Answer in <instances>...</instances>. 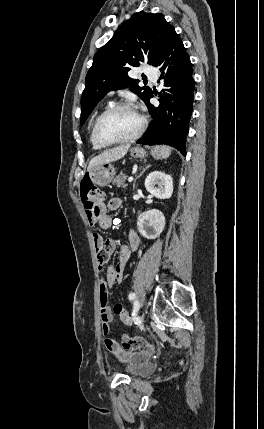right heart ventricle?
I'll use <instances>...</instances> for the list:
<instances>
[{
  "instance_id": "right-heart-ventricle-1",
  "label": "right heart ventricle",
  "mask_w": 264,
  "mask_h": 429,
  "mask_svg": "<svg viewBox=\"0 0 264 429\" xmlns=\"http://www.w3.org/2000/svg\"><path fill=\"white\" fill-rule=\"evenodd\" d=\"M101 113H102V111H99V112L96 114V116L94 117L93 122H92V125H91V130H90V142H91L92 147H93L94 149H102V148L104 147V146H102V145H100V144H98V143L96 142V140H95V138H94V135H93L94 123H95V121H96L97 117H98Z\"/></svg>"
}]
</instances>
